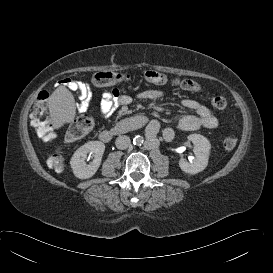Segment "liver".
I'll use <instances>...</instances> for the list:
<instances>
[{"label": "liver", "mask_w": 273, "mask_h": 273, "mask_svg": "<svg viewBox=\"0 0 273 273\" xmlns=\"http://www.w3.org/2000/svg\"><path fill=\"white\" fill-rule=\"evenodd\" d=\"M49 112L54 129L71 123L76 115V104L72 93L64 86H59L49 98Z\"/></svg>", "instance_id": "liver-1"}]
</instances>
